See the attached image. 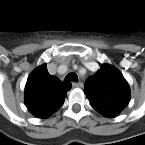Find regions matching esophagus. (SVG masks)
I'll return each mask as SVG.
<instances>
[{
	"label": "esophagus",
	"mask_w": 145,
	"mask_h": 145,
	"mask_svg": "<svg viewBox=\"0 0 145 145\" xmlns=\"http://www.w3.org/2000/svg\"><path fill=\"white\" fill-rule=\"evenodd\" d=\"M72 85H73L74 87H80V88L83 87V83H82V82H72Z\"/></svg>",
	"instance_id": "obj_1"
}]
</instances>
